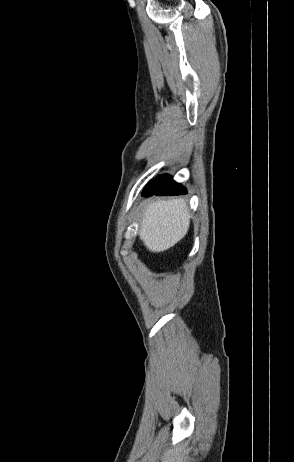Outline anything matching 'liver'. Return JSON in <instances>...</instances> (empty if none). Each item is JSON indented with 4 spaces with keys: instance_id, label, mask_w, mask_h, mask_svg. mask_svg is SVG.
Masks as SVG:
<instances>
[{
    "instance_id": "obj_1",
    "label": "liver",
    "mask_w": 294,
    "mask_h": 462,
    "mask_svg": "<svg viewBox=\"0 0 294 462\" xmlns=\"http://www.w3.org/2000/svg\"><path fill=\"white\" fill-rule=\"evenodd\" d=\"M190 213L181 198L151 202L143 211L139 237L151 252H162L185 237Z\"/></svg>"
}]
</instances>
